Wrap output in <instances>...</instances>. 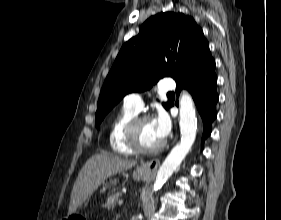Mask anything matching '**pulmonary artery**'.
<instances>
[{
	"mask_svg": "<svg viewBox=\"0 0 281 220\" xmlns=\"http://www.w3.org/2000/svg\"><path fill=\"white\" fill-rule=\"evenodd\" d=\"M159 89L161 91H172L175 89V82L170 78H164L159 82ZM124 104L140 112L143 108L142 96L139 93L128 94L124 98Z\"/></svg>",
	"mask_w": 281,
	"mask_h": 220,
	"instance_id": "e3ab8cb5",
	"label": "pulmonary artery"
}]
</instances>
